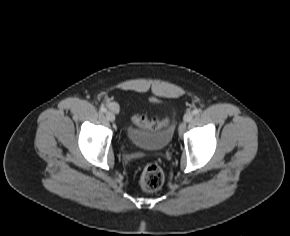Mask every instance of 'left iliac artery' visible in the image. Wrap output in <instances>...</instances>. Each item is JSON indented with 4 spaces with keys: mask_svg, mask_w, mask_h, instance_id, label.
<instances>
[{
    "mask_svg": "<svg viewBox=\"0 0 290 236\" xmlns=\"http://www.w3.org/2000/svg\"><path fill=\"white\" fill-rule=\"evenodd\" d=\"M199 112H200V110L197 108L193 110V114H195V115L199 114Z\"/></svg>",
    "mask_w": 290,
    "mask_h": 236,
    "instance_id": "44dca946",
    "label": "left iliac artery"
}]
</instances>
